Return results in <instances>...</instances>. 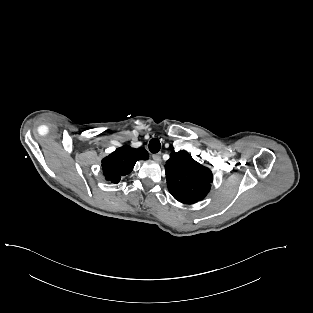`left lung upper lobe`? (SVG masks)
Masks as SVG:
<instances>
[{
  "label": "left lung upper lobe",
  "instance_id": "obj_1",
  "mask_svg": "<svg viewBox=\"0 0 313 313\" xmlns=\"http://www.w3.org/2000/svg\"><path fill=\"white\" fill-rule=\"evenodd\" d=\"M165 170L168 190L179 202L196 203L205 198L210 190L212 172L186 151H173Z\"/></svg>",
  "mask_w": 313,
  "mask_h": 313
}]
</instances>
